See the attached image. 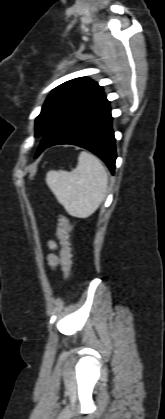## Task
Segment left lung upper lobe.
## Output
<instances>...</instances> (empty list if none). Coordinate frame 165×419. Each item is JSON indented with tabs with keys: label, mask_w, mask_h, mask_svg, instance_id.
<instances>
[{
	"label": "left lung upper lobe",
	"mask_w": 165,
	"mask_h": 419,
	"mask_svg": "<svg viewBox=\"0 0 165 419\" xmlns=\"http://www.w3.org/2000/svg\"><path fill=\"white\" fill-rule=\"evenodd\" d=\"M102 91L96 82L84 77L53 89L35 120V137L45 136L71 109Z\"/></svg>",
	"instance_id": "left-lung-upper-lobe-1"
}]
</instances>
